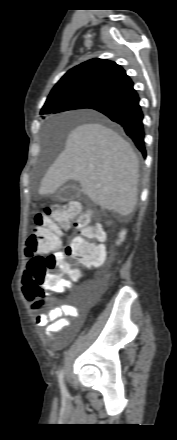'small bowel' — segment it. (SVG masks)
I'll list each match as a JSON object with an SVG mask.
<instances>
[{"mask_svg": "<svg viewBox=\"0 0 177 440\" xmlns=\"http://www.w3.org/2000/svg\"><path fill=\"white\" fill-rule=\"evenodd\" d=\"M26 272H30L29 267L26 266ZM70 288L67 284L59 291H65ZM80 311L78 308L71 305H59L48 312L40 314L37 317V324L45 328V335L55 345H61L68 342L71 338L72 332L77 330L78 325L74 324L71 319L78 318ZM67 330L68 333L61 338H56L54 335Z\"/></svg>", "mask_w": 177, "mask_h": 440, "instance_id": "1", "label": "small bowel"}]
</instances>
